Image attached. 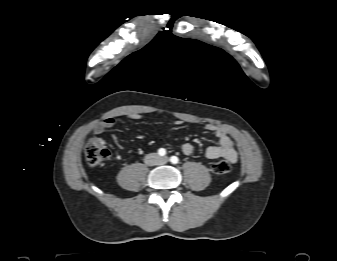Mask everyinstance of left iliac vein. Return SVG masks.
Returning <instances> with one entry per match:
<instances>
[{"mask_svg": "<svg viewBox=\"0 0 337 261\" xmlns=\"http://www.w3.org/2000/svg\"><path fill=\"white\" fill-rule=\"evenodd\" d=\"M168 157H162V158H160V162L161 163H167L168 162Z\"/></svg>", "mask_w": 337, "mask_h": 261, "instance_id": "4c4485c4", "label": "left iliac vein"}]
</instances>
